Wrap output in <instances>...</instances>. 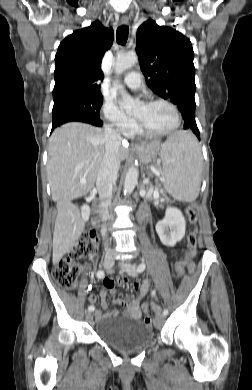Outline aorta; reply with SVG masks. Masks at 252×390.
<instances>
[{"instance_id":"1","label":"aorta","mask_w":252,"mask_h":390,"mask_svg":"<svg viewBox=\"0 0 252 390\" xmlns=\"http://www.w3.org/2000/svg\"><path fill=\"white\" fill-rule=\"evenodd\" d=\"M137 62V56L135 54H122L119 55L115 62V73L117 75L122 74L128 68H131ZM114 87L119 90L121 94L120 106L126 112H131L137 108L139 101L133 99L119 83L115 82ZM138 182V169L135 166L129 168L125 181H124V194H131Z\"/></svg>"}]
</instances>
